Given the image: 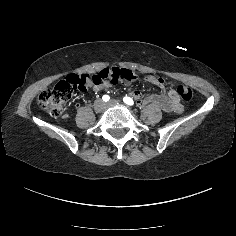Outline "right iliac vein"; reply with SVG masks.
<instances>
[{
  "instance_id": "obj_1",
  "label": "right iliac vein",
  "mask_w": 236,
  "mask_h": 236,
  "mask_svg": "<svg viewBox=\"0 0 236 236\" xmlns=\"http://www.w3.org/2000/svg\"><path fill=\"white\" fill-rule=\"evenodd\" d=\"M95 107H96L97 110L103 108V101L102 100L96 101Z\"/></svg>"
}]
</instances>
